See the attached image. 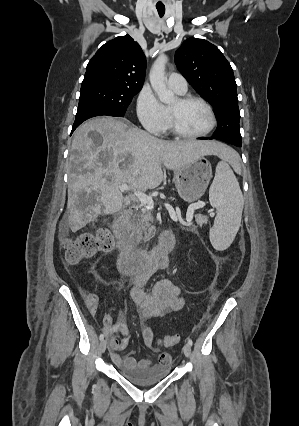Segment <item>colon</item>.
I'll use <instances>...</instances> for the list:
<instances>
[{
    "mask_svg": "<svg viewBox=\"0 0 299 426\" xmlns=\"http://www.w3.org/2000/svg\"><path fill=\"white\" fill-rule=\"evenodd\" d=\"M114 245L111 233L104 228L94 233H84L75 239L66 238L62 241L66 261L70 264H77L80 261L93 257L97 253L107 252ZM93 306L96 302L94 297L90 298ZM180 341L178 335H166L159 339L158 343L165 347H173Z\"/></svg>",
    "mask_w": 299,
    "mask_h": 426,
    "instance_id": "5ec220e1",
    "label": "colon"
}]
</instances>
